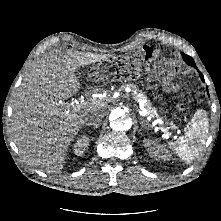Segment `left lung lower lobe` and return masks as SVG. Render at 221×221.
I'll return each mask as SVG.
<instances>
[{
	"label": "left lung lower lobe",
	"mask_w": 221,
	"mask_h": 221,
	"mask_svg": "<svg viewBox=\"0 0 221 221\" xmlns=\"http://www.w3.org/2000/svg\"><path fill=\"white\" fill-rule=\"evenodd\" d=\"M182 55H184V53H182ZM194 67L197 69V67L194 65ZM199 72V71H198ZM199 75H200V77H201V80L203 81V82H205V80H204V78H203V75L199 72Z\"/></svg>",
	"instance_id": "obj_1"
}]
</instances>
